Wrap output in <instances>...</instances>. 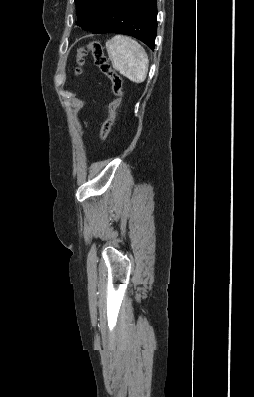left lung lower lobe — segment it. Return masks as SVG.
Returning a JSON list of instances; mask_svg holds the SVG:
<instances>
[{"instance_id": "0a47b994", "label": "left lung lower lobe", "mask_w": 254, "mask_h": 397, "mask_svg": "<svg viewBox=\"0 0 254 397\" xmlns=\"http://www.w3.org/2000/svg\"><path fill=\"white\" fill-rule=\"evenodd\" d=\"M106 3L103 19L92 33L131 35L154 50L157 29L156 0H107Z\"/></svg>"}]
</instances>
